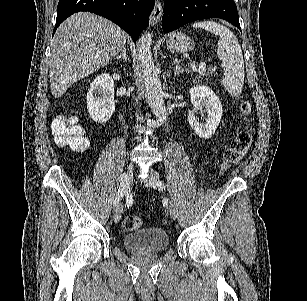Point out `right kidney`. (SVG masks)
I'll use <instances>...</instances> for the list:
<instances>
[{"label": "right kidney", "instance_id": "obj_1", "mask_svg": "<svg viewBox=\"0 0 307 301\" xmlns=\"http://www.w3.org/2000/svg\"><path fill=\"white\" fill-rule=\"evenodd\" d=\"M121 72H102L90 82L86 102L88 112L95 122H105L115 112L114 80H121Z\"/></svg>", "mask_w": 307, "mask_h": 301}]
</instances>
